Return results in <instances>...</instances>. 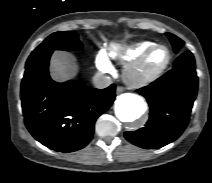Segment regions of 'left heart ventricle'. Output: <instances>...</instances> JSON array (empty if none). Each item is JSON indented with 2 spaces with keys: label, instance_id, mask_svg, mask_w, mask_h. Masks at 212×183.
<instances>
[{
  "label": "left heart ventricle",
  "instance_id": "left-heart-ventricle-1",
  "mask_svg": "<svg viewBox=\"0 0 212 183\" xmlns=\"http://www.w3.org/2000/svg\"><path fill=\"white\" fill-rule=\"evenodd\" d=\"M168 52L165 48L155 49L138 70V75H146L159 69L167 60Z\"/></svg>",
  "mask_w": 212,
  "mask_h": 183
}]
</instances>
